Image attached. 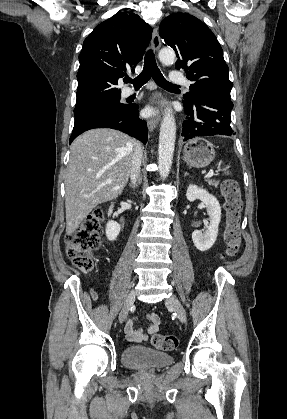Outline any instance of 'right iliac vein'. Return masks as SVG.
I'll list each match as a JSON object with an SVG mask.
<instances>
[{
    "label": "right iliac vein",
    "mask_w": 287,
    "mask_h": 419,
    "mask_svg": "<svg viewBox=\"0 0 287 419\" xmlns=\"http://www.w3.org/2000/svg\"><path fill=\"white\" fill-rule=\"evenodd\" d=\"M134 301H135V292L130 291L129 294L127 295L126 299H125V302H124L123 307H122V309L120 311V314H119V322L120 323H123L125 321V319L127 318L130 307L132 306Z\"/></svg>",
    "instance_id": "63e3f726"
}]
</instances>
